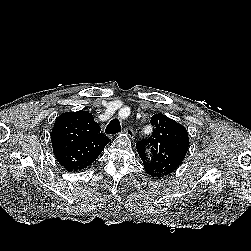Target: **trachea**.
<instances>
[{
	"label": "trachea",
	"instance_id": "obj_1",
	"mask_svg": "<svg viewBox=\"0 0 251 251\" xmlns=\"http://www.w3.org/2000/svg\"><path fill=\"white\" fill-rule=\"evenodd\" d=\"M121 130V126H120V122L118 119H113L110 121V123L107 125L106 129H105V133L108 135H114L117 134L118 132H120Z\"/></svg>",
	"mask_w": 251,
	"mask_h": 251
}]
</instances>
